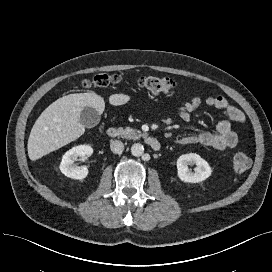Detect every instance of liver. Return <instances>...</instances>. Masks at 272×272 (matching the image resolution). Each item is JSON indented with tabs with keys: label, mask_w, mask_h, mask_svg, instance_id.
I'll return each instance as SVG.
<instances>
[{
	"label": "liver",
	"mask_w": 272,
	"mask_h": 272,
	"mask_svg": "<svg viewBox=\"0 0 272 272\" xmlns=\"http://www.w3.org/2000/svg\"><path fill=\"white\" fill-rule=\"evenodd\" d=\"M130 96L113 94L109 103L113 106L126 104ZM93 107L99 114L105 109L104 99L92 92L63 96L50 104L38 117L28 139V156L32 161L71 143L85 132L80 122L84 107Z\"/></svg>",
	"instance_id": "obj_1"
}]
</instances>
